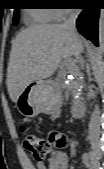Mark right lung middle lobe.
I'll list each match as a JSON object with an SVG mask.
<instances>
[{
  "label": "right lung middle lobe",
  "mask_w": 104,
  "mask_h": 169,
  "mask_svg": "<svg viewBox=\"0 0 104 169\" xmlns=\"http://www.w3.org/2000/svg\"><path fill=\"white\" fill-rule=\"evenodd\" d=\"M18 20V9H15V14H14V23H16Z\"/></svg>",
  "instance_id": "1"
}]
</instances>
